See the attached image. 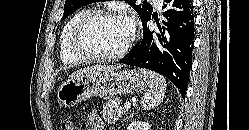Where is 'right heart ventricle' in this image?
Returning a JSON list of instances; mask_svg holds the SVG:
<instances>
[{
  "label": "right heart ventricle",
  "mask_w": 249,
  "mask_h": 130,
  "mask_svg": "<svg viewBox=\"0 0 249 130\" xmlns=\"http://www.w3.org/2000/svg\"><path fill=\"white\" fill-rule=\"evenodd\" d=\"M89 10L83 9L76 12L64 25L59 38V54L62 62L66 65H75L81 61L71 50V39L73 31L79 20L88 13Z\"/></svg>",
  "instance_id": "right-heart-ventricle-1"
}]
</instances>
